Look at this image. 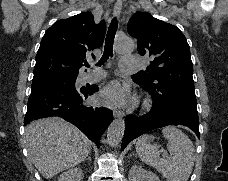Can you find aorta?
<instances>
[{
	"mask_svg": "<svg viewBox=\"0 0 228 181\" xmlns=\"http://www.w3.org/2000/svg\"><path fill=\"white\" fill-rule=\"evenodd\" d=\"M134 48V43L131 39L121 38L116 43V51L118 53H128ZM125 121L123 119L114 120L107 131V142L110 146H117L124 135Z\"/></svg>",
	"mask_w": 228,
	"mask_h": 181,
	"instance_id": "aorta-1",
	"label": "aorta"
}]
</instances>
